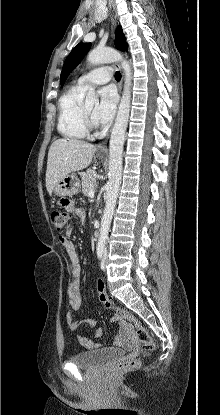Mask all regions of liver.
<instances>
[{
    "instance_id": "6515ba94",
    "label": "liver",
    "mask_w": 220,
    "mask_h": 415,
    "mask_svg": "<svg viewBox=\"0 0 220 415\" xmlns=\"http://www.w3.org/2000/svg\"><path fill=\"white\" fill-rule=\"evenodd\" d=\"M96 152L90 143L76 139H57L50 146L47 159L46 188L51 195L55 185L69 173L87 168Z\"/></svg>"
}]
</instances>
